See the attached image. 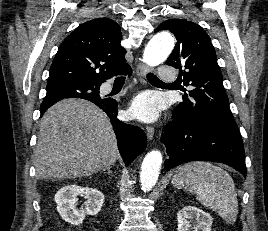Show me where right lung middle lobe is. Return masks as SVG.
Listing matches in <instances>:
<instances>
[{
	"mask_svg": "<svg viewBox=\"0 0 268 231\" xmlns=\"http://www.w3.org/2000/svg\"><path fill=\"white\" fill-rule=\"evenodd\" d=\"M100 86L78 82V81H60L47 84L46 97L43 101H59L64 98H100Z\"/></svg>",
	"mask_w": 268,
	"mask_h": 231,
	"instance_id": "right-lung-middle-lobe-1",
	"label": "right lung middle lobe"
}]
</instances>
